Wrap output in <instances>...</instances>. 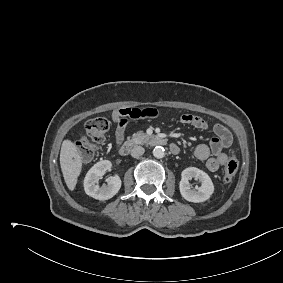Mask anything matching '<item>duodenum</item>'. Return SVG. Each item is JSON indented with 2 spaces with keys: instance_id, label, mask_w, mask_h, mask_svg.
<instances>
[{
  "instance_id": "1",
  "label": "duodenum",
  "mask_w": 283,
  "mask_h": 283,
  "mask_svg": "<svg viewBox=\"0 0 283 283\" xmlns=\"http://www.w3.org/2000/svg\"><path fill=\"white\" fill-rule=\"evenodd\" d=\"M148 143L153 146H165L167 144V139L160 136H151L148 139ZM137 145V142L134 140L127 141L121 144L118 148V153L121 156H126L130 153V151ZM170 150L172 153L177 154L178 148L175 144L170 145Z\"/></svg>"
}]
</instances>
